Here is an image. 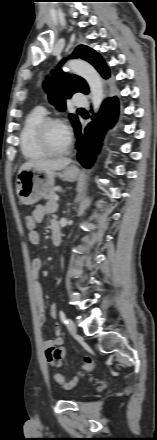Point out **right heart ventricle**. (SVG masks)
<instances>
[{
    "label": "right heart ventricle",
    "mask_w": 157,
    "mask_h": 440,
    "mask_svg": "<svg viewBox=\"0 0 157 440\" xmlns=\"http://www.w3.org/2000/svg\"><path fill=\"white\" fill-rule=\"evenodd\" d=\"M45 118V112L37 108L28 113L24 119L20 132V148L23 155L28 159H39L46 156V153L36 144L34 138L37 125Z\"/></svg>",
    "instance_id": "obj_1"
}]
</instances>
